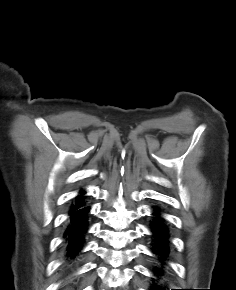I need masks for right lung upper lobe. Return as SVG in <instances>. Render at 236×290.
<instances>
[{
	"mask_svg": "<svg viewBox=\"0 0 236 290\" xmlns=\"http://www.w3.org/2000/svg\"><path fill=\"white\" fill-rule=\"evenodd\" d=\"M83 191H82V194L81 195H79L78 197H77V200H76V202L72 205V207H71V209L72 208H74L75 206H79V205H81L84 201H83V199H84V197H83Z\"/></svg>",
	"mask_w": 236,
	"mask_h": 290,
	"instance_id": "right-lung-upper-lobe-1",
	"label": "right lung upper lobe"
}]
</instances>
